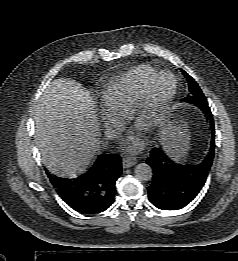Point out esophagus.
<instances>
[{"instance_id": "1", "label": "esophagus", "mask_w": 238, "mask_h": 261, "mask_svg": "<svg viewBox=\"0 0 238 261\" xmlns=\"http://www.w3.org/2000/svg\"><path fill=\"white\" fill-rule=\"evenodd\" d=\"M136 164V160L133 158H123L122 166L123 168H130Z\"/></svg>"}]
</instances>
